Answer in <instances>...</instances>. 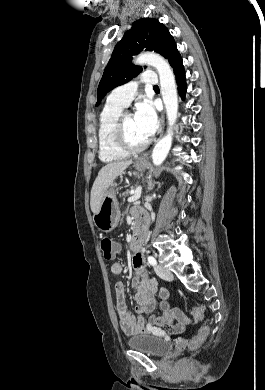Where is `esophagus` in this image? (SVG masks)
Segmentation results:
<instances>
[{
  "label": "esophagus",
  "mask_w": 265,
  "mask_h": 390,
  "mask_svg": "<svg viewBox=\"0 0 265 390\" xmlns=\"http://www.w3.org/2000/svg\"><path fill=\"white\" fill-rule=\"evenodd\" d=\"M161 123H162V132H161V135H162L163 129H164V125H165V115H164V111H163L162 114H161ZM142 161H145V159H142Z\"/></svg>",
  "instance_id": "obj_1"
}]
</instances>
